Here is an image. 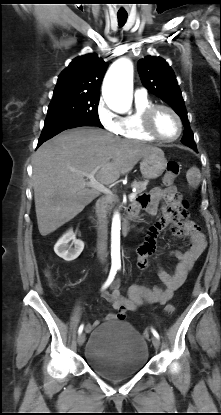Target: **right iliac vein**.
I'll list each match as a JSON object with an SVG mask.
<instances>
[{
	"mask_svg": "<svg viewBox=\"0 0 221 415\" xmlns=\"http://www.w3.org/2000/svg\"><path fill=\"white\" fill-rule=\"evenodd\" d=\"M85 339H86L85 334L80 333L79 336H78V339H77V342H78L79 346H82L84 344Z\"/></svg>",
	"mask_w": 221,
	"mask_h": 415,
	"instance_id": "right-iliac-vein-1",
	"label": "right iliac vein"
}]
</instances>
